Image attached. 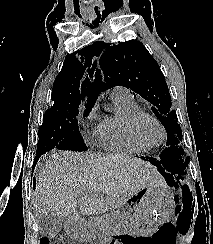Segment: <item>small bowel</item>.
Masks as SVG:
<instances>
[{"mask_svg": "<svg viewBox=\"0 0 213 244\" xmlns=\"http://www.w3.org/2000/svg\"><path fill=\"white\" fill-rule=\"evenodd\" d=\"M113 243H114V244H126V241H125L124 238H120L119 240L114 241Z\"/></svg>", "mask_w": 213, "mask_h": 244, "instance_id": "obj_1", "label": "small bowel"}]
</instances>
